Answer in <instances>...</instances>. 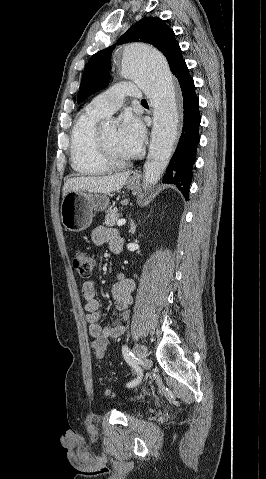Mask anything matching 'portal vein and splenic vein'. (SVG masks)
Wrapping results in <instances>:
<instances>
[{"label":"portal vein and splenic vein","mask_w":266,"mask_h":479,"mask_svg":"<svg viewBox=\"0 0 266 479\" xmlns=\"http://www.w3.org/2000/svg\"><path fill=\"white\" fill-rule=\"evenodd\" d=\"M125 223H126V220H125V219H120V220L117 221V225H118V226H122V225H124Z\"/></svg>","instance_id":"portal-vein-and-splenic-vein-1"}]
</instances>
